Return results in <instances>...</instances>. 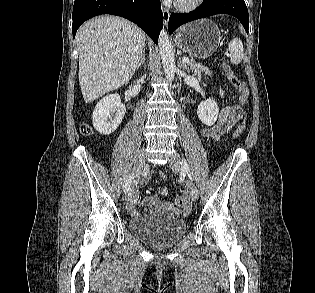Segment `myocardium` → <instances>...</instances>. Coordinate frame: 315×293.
Masks as SVG:
<instances>
[{"mask_svg":"<svg viewBox=\"0 0 315 293\" xmlns=\"http://www.w3.org/2000/svg\"><path fill=\"white\" fill-rule=\"evenodd\" d=\"M203 2L204 0H191L189 2L176 1L175 6L180 11L190 12L200 7Z\"/></svg>","mask_w":315,"mask_h":293,"instance_id":"1","label":"myocardium"}]
</instances>
